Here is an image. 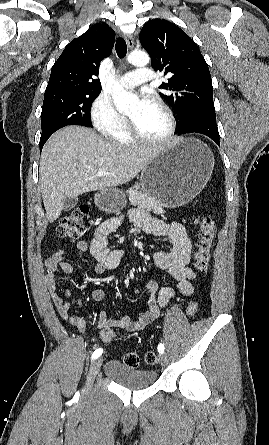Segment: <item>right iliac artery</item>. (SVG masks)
<instances>
[{"label":"right iliac artery","mask_w":269,"mask_h":445,"mask_svg":"<svg viewBox=\"0 0 269 445\" xmlns=\"http://www.w3.org/2000/svg\"><path fill=\"white\" fill-rule=\"evenodd\" d=\"M103 353V349L99 348L97 350H95L92 354V359H96L98 358L101 354Z\"/></svg>","instance_id":"82829eb1"}]
</instances>
